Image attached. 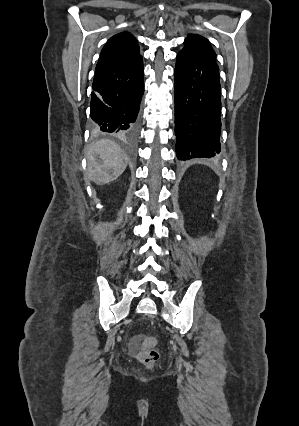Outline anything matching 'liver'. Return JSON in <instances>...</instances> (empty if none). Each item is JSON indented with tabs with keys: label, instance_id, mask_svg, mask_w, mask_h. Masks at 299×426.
<instances>
[{
	"label": "liver",
	"instance_id": "6515ba94",
	"mask_svg": "<svg viewBox=\"0 0 299 426\" xmlns=\"http://www.w3.org/2000/svg\"><path fill=\"white\" fill-rule=\"evenodd\" d=\"M87 161L88 178L99 185L116 180L127 167L126 156L120 146L108 139H100L91 145Z\"/></svg>",
	"mask_w": 299,
	"mask_h": 426
}]
</instances>
